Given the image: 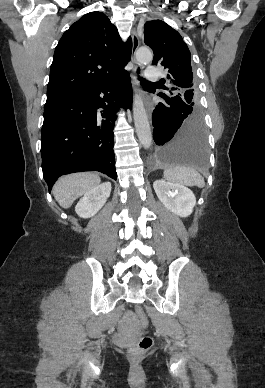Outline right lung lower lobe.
I'll return each mask as SVG.
<instances>
[{
	"label": "right lung lower lobe",
	"instance_id": "right-lung-lower-lobe-1",
	"mask_svg": "<svg viewBox=\"0 0 265 388\" xmlns=\"http://www.w3.org/2000/svg\"><path fill=\"white\" fill-rule=\"evenodd\" d=\"M131 102L127 71L109 82L46 102L41 155L49 191L58 177L78 171H100L116 180L114 123L118 108H131ZM98 108L103 111L98 113Z\"/></svg>",
	"mask_w": 265,
	"mask_h": 388
}]
</instances>
